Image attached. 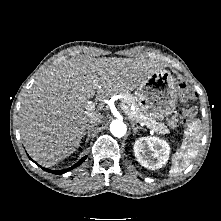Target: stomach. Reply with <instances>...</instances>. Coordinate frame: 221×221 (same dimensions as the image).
Masks as SVG:
<instances>
[{
  "mask_svg": "<svg viewBox=\"0 0 221 221\" xmlns=\"http://www.w3.org/2000/svg\"><path fill=\"white\" fill-rule=\"evenodd\" d=\"M177 91V82L169 71H156L137 89L139 108L146 117L163 120L175 110Z\"/></svg>",
  "mask_w": 221,
  "mask_h": 221,
  "instance_id": "0dacf381",
  "label": "stomach"
}]
</instances>
